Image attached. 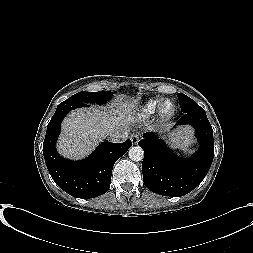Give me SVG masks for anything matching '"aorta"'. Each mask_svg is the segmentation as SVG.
<instances>
[{"label":"aorta","mask_w":253,"mask_h":253,"mask_svg":"<svg viewBox=\"0 0 253 253\" xmlns=\"http://www.w3.org/2000/svg\"><path fill=\"white\" fill-rule=\"evenodd\" d=\"M129 157L133 161H141L144 157V151L140 146H133L129 149Z\"/></svg>","instance_id":"obj_1"}]
</instances>
